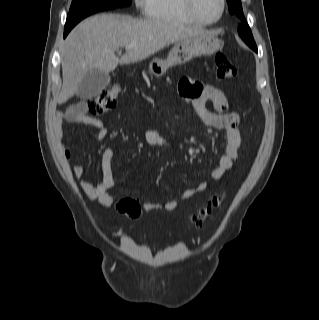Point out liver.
Instances as JSON below:
<instances>
[{
	"instance_id": "6515ba94",
	"label": "liver",
	"mask_w": 319,
	"mask_h": 320,
	"mask_svg": "<svg viewBox=\"0 0 319 320\" xmlns=\"http://www.w3.org/2000/svg\"><path fill=\"white\" fill-rule=\"evenodd\" d=\"M160 19H134L126 15L100 14L80 22L67 36L61 50L63 84L58 103L77 93L79 85L92 70L109 73L118 64L142 61L179 40L204 33ZM133 45L119 59L120 47Z\"/></svg>"
}]
</instances>
